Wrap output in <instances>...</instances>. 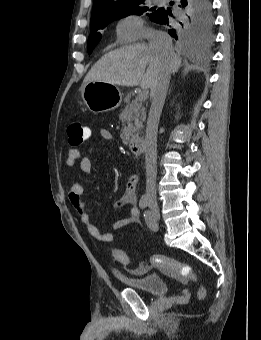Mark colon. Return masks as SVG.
I'll return each instance as SVG.
<instances>
[{
    "instance_id": "obj_1",
    "label": "colon",
    "mask_w": 261,
    "mask_h": 340,
    "mask_svg": "<svg viewBox=\"0 0 261 340\" xmlns=\"http://www.w3.org/2000/svg\"><path fill=\"white\" fill-rule=\"evenodd\" d=\"M67 134L69 143L73 146L79 145L86 140L85 126L79 120L70 122L67 128ZM112 256L115 260L125 266L130 264L129 256L121 249L113 248ZM149 262L152 267L174 274L183 280L196 283L198 285V298L203 299L205 297V288L200 283L198 275L190 265L159 254L152 255Z\"/></svg>"
}]
</instances>
